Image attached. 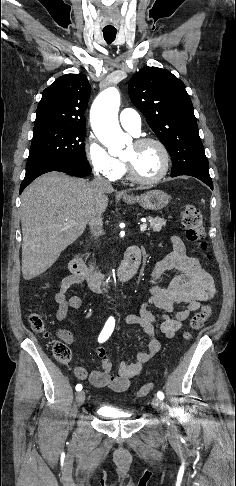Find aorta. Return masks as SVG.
<instances>
[{"instance_id": "1", "label": "aorta", "mask_w": 236, "mask_h": 486, "mask_svg": "<svg viewBox=\"0 0 236 486\" xmlns=\"http://www.w3.org/2000/svg\"><path fill=\"white\" fill-rule=\"evenodd\" d=\"M119 106L120 93L115 87H110L99 94L90 112L93 131L111 155L119 154L130 139L120 128Z\"/></svg>"}]
</instances>
